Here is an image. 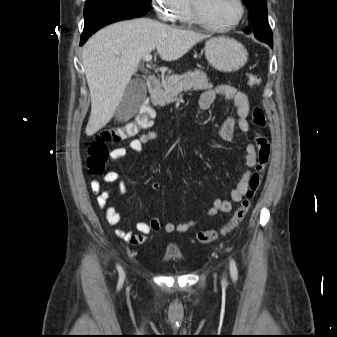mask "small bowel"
<instances>
[{
  "instance_id": "c3829d8e",
  "label": "small bowel",
  "mask_w": 337,
  "mask_h": 337,
  "mask_svg": "<svg viewBox=\"0 0 337 337\" xmlns=\"http://www.w3.org/2000/svg\"><path fill=\"white\" fill-rule=\"evenodd\" d=\"M223 96L228 99L234 110L233 114L226 117L222 125L214 131V135L221 140L232 139L237 132L247 134L249 132V124L247 117L250 112V104L245 93L238 90L232 85H220L215 89H206L199 97L197 106L200 110H207L213 104L216 96ZM158 138L155 131H148L140 134L138 137L132 139L127 147L118 146L110 150L109 158L112 161H117L124 158L128 151L140 152L143 146ZM257 162V152L253 144H249L246 148L244 158L245 169L242 171L236 186L232 189L230 200H223L216 198L212 201L211 207L207 211L210 217L216 216L218 213L229 212L234 203H238L244 197L249 178L252 174V168ZM102 183L117 184L113 189H102ZM91 191L97 195L96 204L104 211L107 222L112 225H118L121 221V216L117 210L108 205V200L114 193H124L127 190V183L121 178L116 171L106 172L102 179H94L90 184ZM161 185L159 182L151 183V190L155 193L159 192ZM198 224L197 220H190L188 222L171 221L163 226L167 233L172 232H187L189 229ZM161 229V222L158 217H152L148 221H141L136 224V232L127 231L121 228L116 229L115 234L132 245H139L147 240L149 234L158 232Z\"/></svg>"
}]
</instances>
